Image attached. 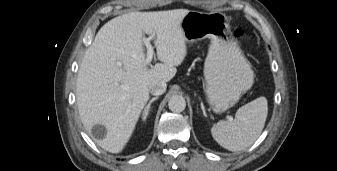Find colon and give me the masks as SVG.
Segmentation results:
<instances>
[{"label": "colon", "mask_w": 337, "mask_h": 171, "mask_svg": "<svg viewBox=\"0 0 337 171\" xmlns=\"http://www.w3.org/2000/svg\"><path fill=\"white\" fill-rule=\"evenodd\" d=\"M235 34H236L237 36H239V35L241 34V31L236 30V31H235Z\"/></svg>", "instance_id": "colon-1"}]
</instances>
